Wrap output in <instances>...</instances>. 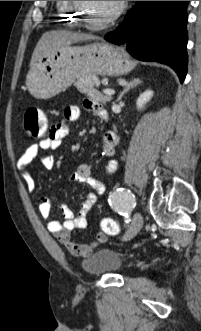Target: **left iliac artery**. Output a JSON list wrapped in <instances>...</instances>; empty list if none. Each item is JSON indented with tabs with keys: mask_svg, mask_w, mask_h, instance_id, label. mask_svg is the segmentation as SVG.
Returning <instances> with one entry per match:
<instances>
[{
	"mask_svg": "<svg viewBox=\"0 0 201 331\" xmlns=\"http://www.w3.org/2000/svg\"><path fill=\"white\" fill-rule=\"evenodd\" d=\"M108 201L111 208L126 219L136 206L134 195L129 190L123 188H117L109 196Z\"/></svg>",
	"mask_w": 201,
	"mask_h": 331,
	"instance_id": "44dca946",
	"label": "left iliac artery"
}]
</instances>
